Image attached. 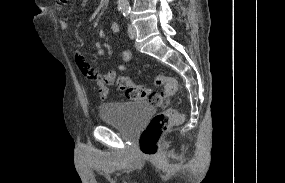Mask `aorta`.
Here are the masks:
<instances>
[{"label": "aorta", "mask_w": 285, "mask_h": 183, "mask_svg": "<svg viewBox=\"0 0 285 183\" xmlns=\"http://www.w3.org/2000/svg\"><path fill=\"white\" fill-rule=\"evenodd\" d=\"M118 9H126L129 6V0H117Z\"/></svg>", "instance_id": "aorta-1"}]
</instances>
